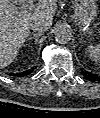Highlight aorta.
Returning a JSON list of instances; mask_svg holds the SVG:
<instances>
[{
	"label": "aorta",
	"mask_w": 100,
	"mask_h": 118,
	"mask_svg": "<svg viewBox=\"0 0 100 118\" xmlns=\"http://www.w3.org/2000/svg\"><path fill=\"white\" fill-rule=\"evenodd\" d=\"M55 40L60 44H66L71 40V30L65 26L57 28L55 31Z\"/></svg>",
	"instance_id": "aorta-1"
}]
</instances>
